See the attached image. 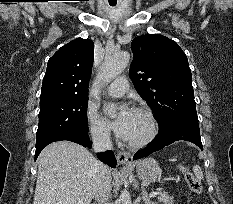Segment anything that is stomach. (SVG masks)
I'll list each match as a JSON object with an SVG mask.
<instances>
[{"instance_id":"1","label":"stomach","mask_w":233,"mask_h":204,"mask_svg":"<svg viewBox=\"0 0 233 204\" xmlns=\"http://www.w3.org/2000/svg\"><path fill=\"white\" fill-rule=\"evenodd\" d=\"M138 177L145 182H155L161 175L158 162L153 158H146L137 163Z\"/></svg>"}]
</instances>
